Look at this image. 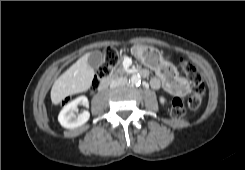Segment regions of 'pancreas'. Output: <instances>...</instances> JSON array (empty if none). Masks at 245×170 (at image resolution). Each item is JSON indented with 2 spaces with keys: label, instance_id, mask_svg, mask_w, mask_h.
Masks as SVG:
<instances>
[{
  "label": "pancreas",
  "instance_id": "obj_1",
  "mask_svg": "<svg viewBox=\"0 0 245 170\" xmlns=\"http://www.w3.org/2000/svg\"><path fill=\"white\" fill-rule=\"evenodd\" d=\"M122 74H124L123 67L118 63L115 67H113L112 72L109 75V79H113L114 77Z\"/></svg>",
  "mask_w": 245,
  "mask_h": 170
}]
</instances>
